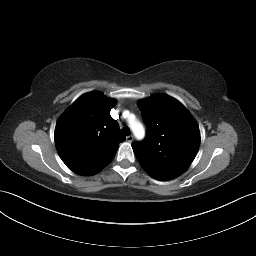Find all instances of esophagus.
I'll return each mask as SVG.
<instances>
[{"mask_svg": "<svg viewBox=\"0 0 256 256\" xmlns=\"http://www.w3.org/2000/svg\"><path fill=\"white\" fill-rule=\"evenodd\" d=\"M133 139H134V137L132 135H129L126 137V140L130 143L133 141Z\"/></svg>", "mask_w": 256, "mask_h": 256, "instance_id": "obj_1", "label": "esophagus"}]
</instances>
